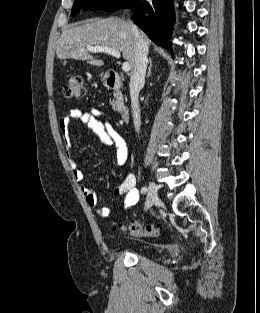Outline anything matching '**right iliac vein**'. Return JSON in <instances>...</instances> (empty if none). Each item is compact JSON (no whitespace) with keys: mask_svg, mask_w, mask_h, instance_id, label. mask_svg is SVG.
<instances>
[{"mask_svg":"<svg viewBox=\"0 0 260 313\" xmlns=\"http://www.w3.org/2000/svg\"><path fill=\"white\" fill-rule=\"evenodd\" d=\"M160 203L158 198V188L155 183L150 182L146 197L145 210H148L154 204Z\"/></svg>","mask_w":260,"mask_h":313,"instance_id":"obj_1","label":"right iliac vein"}]
</instances>
